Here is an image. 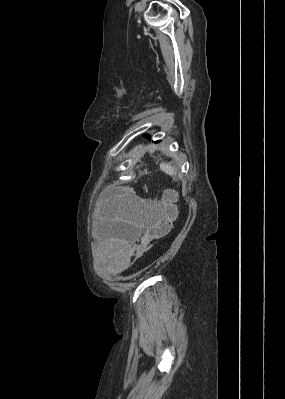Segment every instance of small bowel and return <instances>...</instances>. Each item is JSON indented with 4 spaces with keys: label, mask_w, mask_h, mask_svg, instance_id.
<instances>
[{
    "label": "small bowel",
    "mask_w": 285,
    "mask_h": 399,
    "mask_svg": "<svg viewBox=\"0 0 285 399\" xmlns=\"http://www.w3.org/2000/svg\"><path fill=\"white\" fill-rule=\"evenodd\" d=\"M166 203V199L158 202L150 199L135 198L134 206L129 211L126 226L128 240L120 247L118 262L127 265L135 255V247L145 237L149 236L160 222L162 215L156 210Z\"/></svg>",
    "instance_id": "obj_1"
}]
</instances>
